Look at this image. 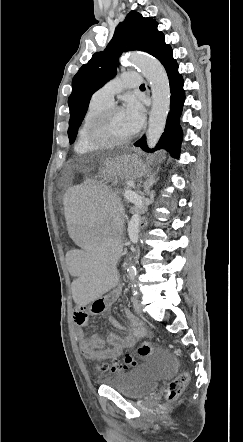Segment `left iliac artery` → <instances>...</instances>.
Returning <instances> with one entry per match:
<instances>
[{"label": "left iliac artery", "instance_id": "obj_1", "mask_svg": "<svg viewBox=\"0 0 243 442\" xmlns=\"http://www.w3.org/2000/svg\"><path fill=\"white\" fill-rule=\"evenodd\" d=\"M135 275H136V271H130L129 272V276L131 277V279H133ZM133 296H135V297L137 296V291L135 289V286L133 288Z\"/></svg>", "mask_w": 243, "mask_h": 442}]
</instances>
